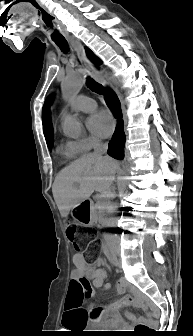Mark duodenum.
Segmentation results:
<instances>
[{
	"label": "duodenum",
	"mask_w": 193,
	"mask_h": 336,
	"mask_svg": "<svg viewBox=\"0 0 193 336\" xmlns=\"http://www.w3.org/2000/svg\"><path fill=\"white\" fill-rule=\"evenodd\" d=\"M111 255H112L113 261L117 262V260H118V253H117V251H116V249L114 247L111 248Z\"/></svg>",
	"instance_id": "410a0bca"
}]
</instances>
